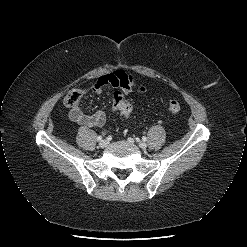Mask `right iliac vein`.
I'll return each mask as SVG.
<instances>
[{
  "mask_svg": "<svg viewBox=\"0 0 247 247\" xmlns=\"http://www.w3.org/2000/svg\"><path fill=\"white\" fill-rule=\"evenodd\" d=\"M109 142L108 140L104 139L99 143L100 148H106L108 146Z\"/></svg>",
  "mask_w": 247,
  "mask_h": 247,
  "instance_id": "right-iliac-vein-1",
  "label": "right iliac vein"
}]
</instances>
